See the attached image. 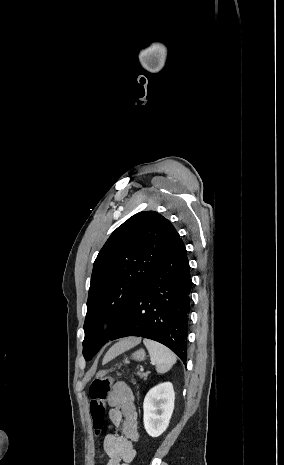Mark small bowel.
<instances>
[{"mask_svg": "<svg viewBox=\"0 0 284 465\" xmlns=\"http://www.w3.org/2000/svg\"><path fill=\"white\" fill-rule=\"evenodd\" d=\"M108 403L111 406L108 413L111 431L103 439L107 465H129L136 457L134 443L139 439L134 394L125 382H116L108 396Z\"/></svg>", "mask_w": 284, "mask_h": 465, "instance_id": "1", "label": "small bowel"}]
</instances>
